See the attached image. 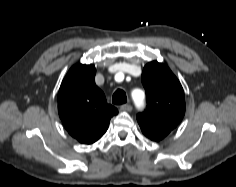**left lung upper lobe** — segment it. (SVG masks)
I'll return each instance as SVG.
<instances>
[{"instance_id": "obj_1", "label": "left lung upper lobe", "mask_w": 236, "mask_h": 187, "mask_svg": "<svg viewBox=\"0 0 236 187\" xmlns=\"http://www.w3.org/2000/svg\"><path fill=\"white\" fill-rule=\"evenodd\" d=\"M146 91V110L137 114L142 132L153 141L167 136L182 120L185 113L183 88L164 64L152 61L142 73Z\"/></svg>"}]
</instances>
